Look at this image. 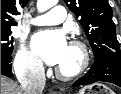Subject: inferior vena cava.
Segmentation results:
<instances>
[{
  "label": "inferior vena cava",
  "mask_w": 121,
  "mask_h": 94,
  "mask_svg": "<svg viewBox=\"0 0 121 94\" xmlns=\"http://www.w3.org/2000/svg\"><path fill=\"white\" fill-rule=\"evenodd\" d=\"M18 78L23 94H42L46 82L43 66L25 67L18 74Z\"/></svg>",
  "instance_id": "obj_1"
}]
</instances>
